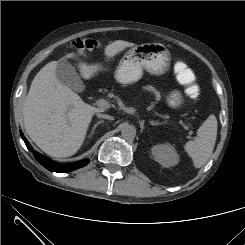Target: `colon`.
<instances>
[{
	"label": "colon",
	"mask_w": 245,
	"mask_h": 245,
	"mask_svg": "<svg viewBox=\"0 0 245 245\" xmlns=\"http://www.w3.org/2000/svg\"><path fill=\"white\" fill-rule=\"evenodd\" d=\"M97 46H98L97 41H95L93 39H82V40H79L78 42H76L74 44V47L77 50L93 49V48H95ZM181 84H183L185 93H186V95L189 98L198 97V95L200 93V88H199V86L196 83H194V81H192V82H184V83H181Z\"/></svg>",
	"instance_id": "colon-1"
}]
</instances>
